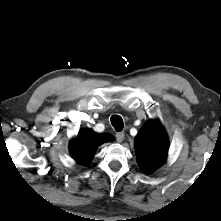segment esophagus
Instances as JSON below:
<instances>
[{"mask_svg": "<svg viewBox=\"0 0 221 221\" xmlns=\"http://www.w3.org/2000/svg\"><path fill=\"white\" fill-rule=\"evenodd\" d=\"M125 134L124 132H118L116 133V140L120 143L124 140Z\"/></svg>", "mask_w": 221, "mask_h": 221, "instance_id": "34e87169", "label": "esophagus"}]
</instances>
